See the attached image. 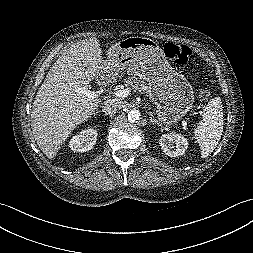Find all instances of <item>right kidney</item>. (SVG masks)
<instances>
[{
    "mask_svg": "<svg viewBox=\"0 0 253 253\" xmlns=\"http://www.w3.org/2000/svg\"><path fill=\"white\" fill-rule=\"evenodd\" d=\"M97 139V131L89 128L82 130L69 141V147L74 152H87L93 148Z\"/></svg>",
    "mask_w": 253,
    "mask_h": 253,
    "instance_id": "ca27d5eb",
    "label": "right kidney"
}]
</instances>
